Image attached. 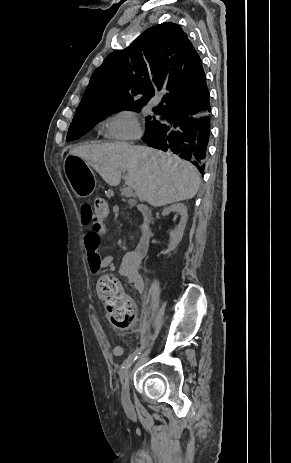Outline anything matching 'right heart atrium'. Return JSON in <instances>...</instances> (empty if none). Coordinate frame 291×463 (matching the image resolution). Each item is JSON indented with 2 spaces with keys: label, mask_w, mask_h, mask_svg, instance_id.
Returning a JSON list of instances; mask_svg holds the SVG:
<instances>
[{
  "label": "right heart atrium",
  "mask_w": 291,
  "mask_h": 463,
  "mask_svg": "<svg viewBox=\"0 0 291 463\" xmlns=\"http://www.w3.org/2000/svg\"><path fill=\"white\" fill-rule=\"evenodd\" d=\"M105 134L110 139L129 140L140 134L136 114L131 110H121L111 115L105 124Z\"/></svg>",
  "instance_id": "obj_1"
}]
</instances>
